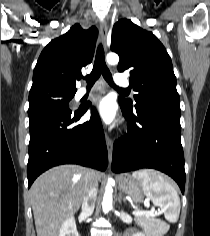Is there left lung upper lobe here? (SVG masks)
<instances>
[{"instance_id": "5c2ea615", "label": "left lung upper lobe", "mask_w": 210, "mask_h": 236, "mask_svg": "<svg viewBox=\"0 0 210 236\" xmlns=\"http://www.w3.org/2000/svg\"><path fill=\"white\" fill-rule=\"evenodd\" d=\"M111 50L120 56L119 72L130 70V83L138 92L134 108L148 102L180 104L170 56L153 33L121 19L113 27ZM120 100L133 110L131 100Z\"/></svg>"}]
</instances>
